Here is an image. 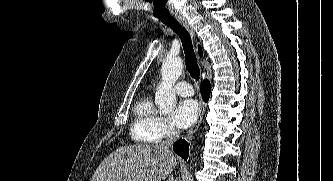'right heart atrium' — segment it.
<instances>
[{
  "label": "right heart atrium",
  "instance_id": "d8ad5b80",
  "mask_svg": "<svg viewBox=\"0 0 333 181\" xmlns=\"http://www.w3.org/2000/svg\"><path fill=\"white\" fill-rule=\"evenodd\" d=\"M178 129L167 117H159L156 125V134L159 140L168 139L176 136Z\"/></svg>",
  "mask_w": 333,
  "mask_h": 181
}]
</instances>
